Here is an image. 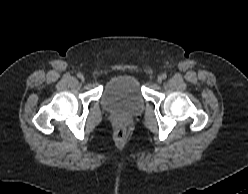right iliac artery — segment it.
Segmentation results:
<instances>
[{"instance_id": "1", "label": "right iliac artery", "mask_w": 248, "mask_h": 194, "mask_svg": "<svg viewBox=\"0 0 248 194\" xmlns=\"http://www.w3.org/2000/svg\"><path fill=\"white\" fill-rule=\"evenodd\" d=\"M77 76H78L79 78H81V77H82V74H81V73H78Z\"/></svg>"}]
</instances>
